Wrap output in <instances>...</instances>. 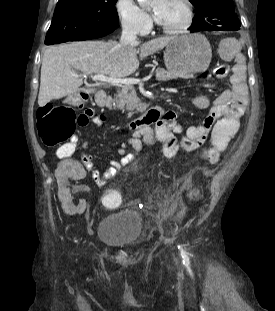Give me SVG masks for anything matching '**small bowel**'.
<instances>
[{"label":"small bowel","instance_id":"obj_1","mask_svg":"<svg viewBox=\"0 0 275 311\" xmlns=\"http://www.w3.org/2000/svg\"><path fill=\"white\" fill-rule=\"evenodd\" d=\"M240 43L235 39H224L221 49L218 51L219 57H232L234 64L229 77L230 88L218 94L213 99L207 96H197L193 99V106L199 110H207V115L199 124L190 125L183 128L177 122V115L172 110H155L148 114L146 126L136 128L131 137L118 145L117 153L120 156L117 160H111L110 166L101 174L94 168V162L90 155L83 153L81 160L85 169H82L80 160H67L66 156H58L59 168L56 169V179L60 185L61 201L59 213H67V216H82L86 202L84 199H76L72 194H79V187H72L73 180H83L86 170L92 173L96 183L100 186L106 185L109 179L114 177L117 171L123 166L129 165L133 159V154H127V147H132L136 152L143 149L144 144L155 146L158 142L163 145V152L166 157H173L181 147L189 150L196 149L207 139L209 133L216 126L217 118H241L248 102V91L246 85V62L241 53ZM86 112L97 127L104 123V116L96 114L94 110L87 109ZM216 128V127H215ZM236 132L238 130H235ZM184 132L186 137L182 144H178L176 136ZM78 137L73 138L74 143H78ZM86 145V142H84ZM72 192V194H71Z\"/></svg>","mask_w":275,"mask_h":311}]
</instances>
